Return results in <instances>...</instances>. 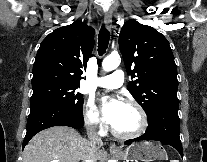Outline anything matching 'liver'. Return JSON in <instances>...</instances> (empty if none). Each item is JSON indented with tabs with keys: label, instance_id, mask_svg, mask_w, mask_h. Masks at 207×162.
Returning a JSON list of instances; mask_svg holds the SVG:
<instances>
[{
	"label": "liver",
	"instance_id": "6515ba94",
	"mask_svg": "<svg viewBox=\"0 0 207 162\" xmlns=\"http://www.w3.org/2000/svg\"><path fill=\"white\" fill-rule=\"evenodd\" d=\"M91 144L78 131L68 126H54L37 133L25 146L23 162H80L87 161ZM98 148L96 160H104Z\"/></svg>",
	"mask_w": 207,
	"mask_h": 162
}]
</instances>
